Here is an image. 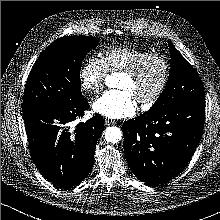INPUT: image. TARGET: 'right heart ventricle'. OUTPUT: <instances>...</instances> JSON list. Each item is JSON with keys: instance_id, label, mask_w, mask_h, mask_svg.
Returning a JSON list of instances; mask_svg holds the SVG:
<instances>
[{"instance_id": "obj_1", "label": "right heart ventricle", "mask_w": 220, "mask_h": 220, "mask_svg": "<svg viewBox=\"0 0 220 220\" xmlns=\"http://www.w3.org/2000/svg\"><path fill=\"white\" fill-rule=\"evenodd\" d=\"M150 54V51L130 46L111 47L103 52V58L108 72L123 71L135 62Z\"/></svg>"}]
</instances>
